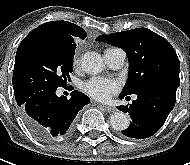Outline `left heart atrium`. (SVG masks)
Masks as SVG:
<instances>
[{
  "label": "left heart atrium",
  "instance_id": "left-heart-atrium-1",
  "mask_svg": "<svg viewBox=\"0 0 190 165\" xmlns=\"http://www.w3.org/2000/svg\"><path fill=\"white\" fill-rule=\"evenodd\" d=\"M82 89L90 97L105 102L119 91L120 85L113 79L93 77L82 85Z\"/></svg>",
  "mask_w": 190,
  "mask_h": 165
}]
</instances>
